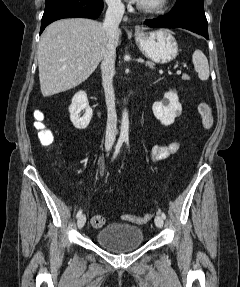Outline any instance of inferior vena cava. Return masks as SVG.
I'll return each mask as SVG.
<instances>
[{
  "label": "inferior vena cava",
  "mask_w": 240,
  "mask_h": 287,
  "mask_svg": "<svg viewBox=\"0 0 240 287\" xmlns=\"http://www.w3.org/2000/svg\"><path fill=\"white\" fill-rule=\"evenodd\" d=\"M108 9L106 11L103 27L107 36V45L101 63L102 85L105 92L107 105V127L105 146H113L117 132V114L115 109V94L113 88V77L115 75V41L119 23L122 20L125 8L121 0H106Z\"/></svg>",
  "instance_id": "1"
}]
</instances>
